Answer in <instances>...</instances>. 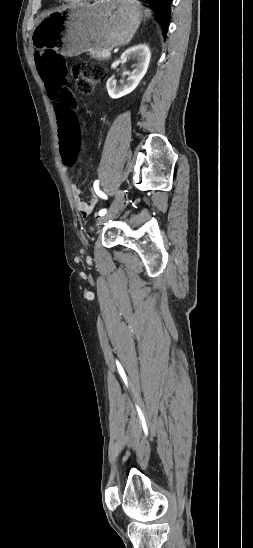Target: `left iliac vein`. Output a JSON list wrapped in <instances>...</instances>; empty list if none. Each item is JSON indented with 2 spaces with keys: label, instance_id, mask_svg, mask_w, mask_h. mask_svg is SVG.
Returning a JSON list of instances; mask_svg holds the SVG:
<instances>
[{
  "label": "left iliac vein",
  "instance_id": "obj_1",
  "mask_svg": "<svg viewBox=\"0 0 253 548\" xmlns=\"http://www.w3.org/2000/svg\"><path fill=\"white\" fill-rule=\"evenodd\" d=\"M123 196H124V192L122 189H120L116 196H115V200L113 202V204L111 205L109 211L99 217L97 220H96V226H97V229H99L104 223H106L107 221H109L111 218H113L116 213L118 212L121 204H122V201H123Z\"/></svg>",
  "mask_w": 253,
  "mask_h": 548
}]
</instances>
